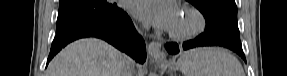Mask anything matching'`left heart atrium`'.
Returning <instances> with one entry per match:
<instances>
[{"label": "left heart atrium", "instance_id": "obj_1", "mask_svg": "<svg viewBox=\"0 0 287 76\" xmlns=\"http://www.w3.org/2000/svg\"><path fill=\"white\" fill-rule=\"evenodd\" d=\"M131 11L139 19L161 29H172L179 16V9L172 0H135Z\"/></svg>", "mask_w": 287, "mask_h": 76}]
</instances>
